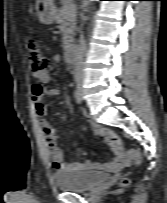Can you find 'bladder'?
I'll return each mask as SVG.
<instances>
[{
    "mask_svg": "<svg viewBox=\"0 0 167 203\" xmlns=\"http://www.w3.org/2000/svg\"><path fill=\"white\" fill-rule=\"evenodd\" d=\"M55 185L65 192H84L94 186L105 183L110 175L102 171H82L74 169H62L53 173Z\"/></svg>",
    "mask_w": 167,
    "mask_h": 203,
    "instance_id": "31cf9c89",
    "label": "bladder"
}]
</instances>
